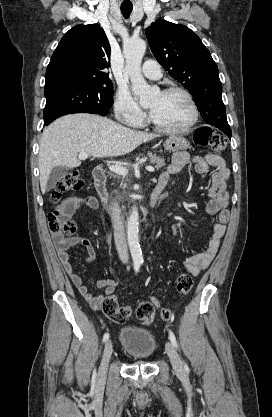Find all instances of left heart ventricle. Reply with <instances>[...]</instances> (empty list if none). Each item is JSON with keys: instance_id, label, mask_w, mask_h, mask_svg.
<instances>
[{"instance_id": "1", "label": "left heart ventricle", "mask_w": 272, "mask_h": 417, "mask_svg": "<svg viewBox=\"0 0 272 417\" xmlns=\"http://www.w3.org/2000/svg\"><path fill=\"white\" fill-rule=\"evenodd\" d=\"M151 116L161 126L179 128L186 125L192 116L186 98L180 94H158L148 106Z\"/></svg>"}]
</instances>
